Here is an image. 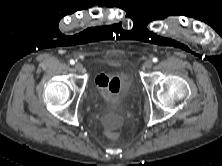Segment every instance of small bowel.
<instances>
[{
  "mask_svg": "<svg viewBox=\"0 0 222 166\" xmlns=\"http://www.w3.org/2000/svg\"><path fill=\"white\" fill-rule=\"evenodd\" d=\"M100 95L109 103L117 102L126 92L129 82L122 73L110 75L102 73L95 79Z\"/></svg>",
  "mask_w": 222,
  "mask_h": 166,
  "instance_id": "small-bowel-1",
  "label": "small bowel"
}]
</instances>
